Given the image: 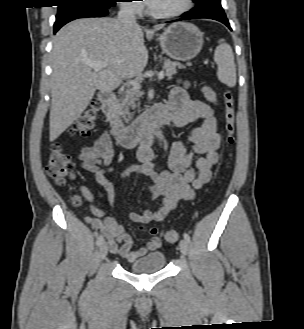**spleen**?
Segmentation results:
<instances>
[{"label":"spleen","mask_w":304,"mask_h":329,"mask_svg":"<svg viewBox=\"0 0 304 329\" xmlns=\"http://www.w3.org/2000/svg\"><path fill=\"white\" fill-rule=\"evenodd\" d=\"M214 60L218 65V79L229 87L236 85V66L230 45L224 39L219 41V46L214 52Z\"/></svg>","instance_id":"obj_1"}]
</instances>
